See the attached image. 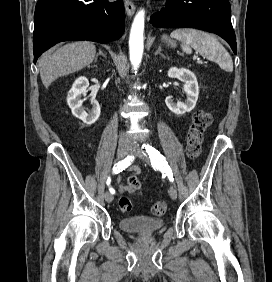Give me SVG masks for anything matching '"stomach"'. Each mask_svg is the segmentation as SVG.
<instances>
[{"instance_id": "0dacf381", "label": "stomach", "mask_w": 272, "mask_h": 282, "mask_svg": "<svg viewBox=\"0 0 272 282\" xmlns=\"http://www.w3.org/2000/svg\"><path fill=\"white\" fill-rule=\"evenodd\" d=\"M162 40L168 45V46H171V47H176V42L171 40L169 37H167L166 35H164L162 37Z\"/></svg>"}]
</instances>
